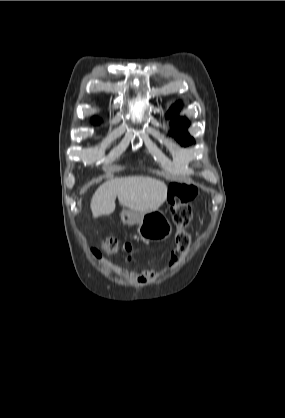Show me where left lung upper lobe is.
Returning <instances> with one entry per match:
<instances>
[{"instance_id": "1", "label": "left lung upper lobe", "mask_w": 285, "mask_h": 418, "mask_svg": "<svg viewBox=\"0 0 285 418\" xmlns=\"http://www.w3.org/2000/svg\"><path fill=\"white\" fill-rule=\"evenodd\" d=\"M181 109V104L176 103L168 112L167 118H171L172 124V136H175L176 140L183 146H188L194 142V139L189 135L187 127L189 122L186 118L177 117V113Z\"/></svg>"}]
</instances>
